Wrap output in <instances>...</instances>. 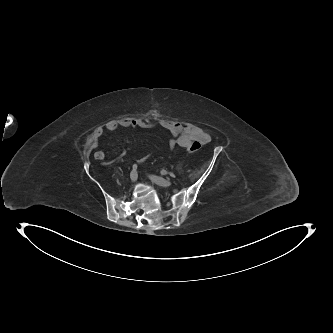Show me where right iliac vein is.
Wrapping results in <instances>:
<instances>
[{
  "label": "right iliac vein",
  "instance_id": "obj_1",
  "mask_svg": "<svg viewBox=\"0 0 333 333\" xmlns=\"http://www.w3.org/2000/svg\"><path fill=\"white\" fill-rule=\"evenodd\" d=\"M137 180V172L132 170L130 173V181L134 183Z\"/></svg>",
  "mask_w": 333,
  "mask_h": 333
}]
</instances>
